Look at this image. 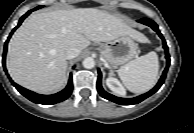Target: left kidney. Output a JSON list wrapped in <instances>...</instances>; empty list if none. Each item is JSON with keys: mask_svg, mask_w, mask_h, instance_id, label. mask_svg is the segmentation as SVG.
I'll list each match as a JSON object with an SVG mask.
<instances>
[{"mask_svg": "<svg viewBox=\"0 0 194 133\" xmlns=\"http://www.w3.org/2000/svg\"><path fill=\"white\" fill-rule=\"evenodd\" d=\"M106 84L109 87V89L112 90L114 93H116L118 95L125 94V90H124L123 86L116 78H113V77L107 78Z\"/></svg>", "mask_w": 194, "mask_h": 133, "instance_id": "left-kidney-1", "label": "left kidney"}]
</instances>
